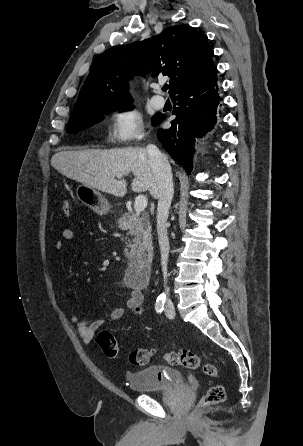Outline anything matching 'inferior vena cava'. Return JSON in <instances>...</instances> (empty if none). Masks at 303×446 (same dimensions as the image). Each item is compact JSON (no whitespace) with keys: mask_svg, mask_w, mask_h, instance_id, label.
<instances>
[{"mask_svg":"<svg viewBox=\"0 0 303 446\" xmlns=\"http://www.w3.org/2000/svg\"><path fill=\"white\" fill-rule=\"evenodd\" d=\"M146 149L157 182V233L161 251L162 272L166 284L168 276L167 264L170 250L167 235V219L174 194L172 172L167 157L163 155L155 145L150 144ZM165 290L168 292L169 288L165 287Z\"/></svg>","mask_w":303,"mask_h":446,"instance_id":"602c4592","label":"inferior vena cava"}]
</instances>
